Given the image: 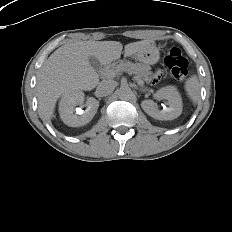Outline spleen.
I'll return each mask as SVG.
<instances>
[{"label":"spleen","instance_id":"spleen-1","mask_svg":"<svg viewBox=\"0 0 232 232\" xmlns=\"http://www.w3.org/2000/svg\"><path fill=\"white\" fill-rule=\"evenodd\" d=\"M187 96L193 101L198 103L200 100L201 84L197 75L189 77L184 85Z\"/></svg>","mask_w":232,"mask_h":232}]
</instances>
